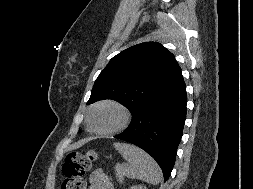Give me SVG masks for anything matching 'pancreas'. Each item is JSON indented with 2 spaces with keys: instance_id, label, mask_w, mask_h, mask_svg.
<instances>
[{
  "instance_id": "pancreas-1",
  "label": "pancreas",
  "mask_w": 253,
  "mask_h": 189,
  "mask_svg": "<svg viewBox=\"0 0 253 189\" xmlns=\"http://www.w3.org/2000/svg\"><path fill=\"white\" fill-rule=\"evenodd\" d=\"M116 178L118 180L119 183H122L124 180V174H123V170L120 168L118 170H116Z\"/></svg>"
}]
</instances>
